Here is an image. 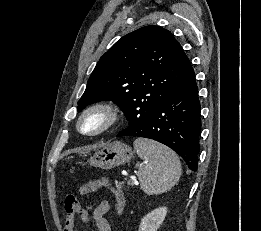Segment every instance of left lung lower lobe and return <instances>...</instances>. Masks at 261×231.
<instances>
[{"instance_id":"0a47b994","label":"left lung lower lobe","mask_w":261,"mask_h":231,"mask_svg":"<svg viewBox=\"0 0 261 231\" xmlns=\"http://www.w3.org/2000/svg\"><path fill=\"white\" fill-rule=\"evenodd\" d=\"M200 102L195 74L166 101L158 105L143 124H133L117 134L156 140L173 149L191 170H197L200 151Z\"/></svg>"}]
</instances>
